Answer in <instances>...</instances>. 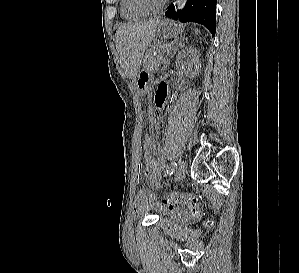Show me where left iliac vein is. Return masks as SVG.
Masks as SVG:
<instances>
[{"label":"left iliac vein","instance_id":"4c4485c4","mask_svg":"<svg viewBox=\"0 0 299 273\" xmlns=\"http://www.w3.org/2000/svg\"><path fill=\"white\" fill-rule=\"evenodd\" d=\"M186 170H187L186 162L181 161L175 175V181L181 180L185 176Z\"/></svg>","mask_w":299,"mask_h":273}]
</instances>
